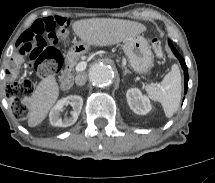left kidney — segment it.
Listing matches in <instances>:
<instances>
[{"label": "left kidney", "mask_w": 215, "mask_h": 183, "mask_svg": "<svg viewBox=\"0 0 215 183\" xmlns=\"http://www.w3.org/2000/svg\"><path fill=\"white\" fill-rule=\"evenodd\" d=\"M129 107L138 115H146L152 106L147 96L142 95L137 88H131L126 93Z\"/></svg>", "instance_id": "5707ae66"}]
</instances>
